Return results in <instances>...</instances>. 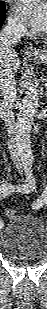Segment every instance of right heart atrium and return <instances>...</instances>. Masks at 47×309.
<instances>
[{"mask_svg":"<svg viewBox=\"0 0 47 309\" xmlns=\"http://www.w3.org/2000/svg\"><path fill=\"white\" fill-rule=\"evenodd\" d=\"M8 28L9 30L19 36L25 35L27 29L22 22H20L16 17L10 16L8 19Z\"/></svg>","mask_w":47,"mask_h":309,"instance_id":"1","label":"right heart atrium"}]
</instances>
